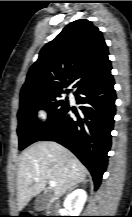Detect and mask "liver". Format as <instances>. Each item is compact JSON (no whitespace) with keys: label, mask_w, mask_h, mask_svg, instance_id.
<instances>
[{"label":"liver","mask_w":132,"mask_h":217,"mask_svg":"<svg viewBox=\"0 0 132 217\" xmlns=\"http://www.w3.org/2000/svg\"><path fill=\"white\" fill-rule=\"evenodd\" d=\"M86 175L85 166L60 144L51 141L32 144L24 150L18 165L17 210L21 211L32 197L43 191L48 181L56 183L53 191L59 197L83 182Z\"/></svg>","instance_id":"liver-1"}]
</instances>
